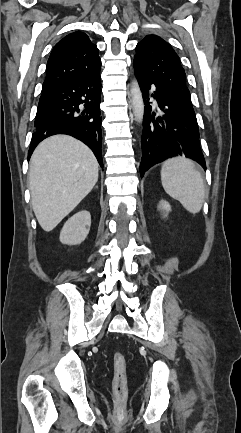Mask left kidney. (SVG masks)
I'll list each match as a JSON object with an SVG mask.
<instances>
[{
	"mask_svg": "<svg viewBox=\"0 0 241 433\" xmlns=\"http://www.w3.org/2000/svg\"><path fill=\"white\" fill-rule=\"evenodd\" d=\"M158 208L164 212V216H165V217H166L167 214L171 211V206H170V204H169L167 201H164V200H162V201L159 203Z\"/></svg>",
	"mask_w": 241,
	"mask_h": 433,
	"instance_id": "1",
	"label": "left kidney"
}]
</instances>
